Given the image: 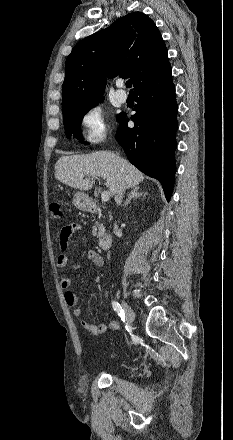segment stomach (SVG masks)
<instances>
[{"mask_svg": "<svg viewBox=\"0 0 233 440\" xmlns=\"http://www.w3.org/2000/svg\"><path fill=\"white\" fill-rule=\"evenodd\" d=\"M73 205L82 211H87L91 208L92 202L88 195L78 192L73 197Z\"/></svg>", "mask_w": 233, "mask_h": 440, "instance_id": "stomach-1", "label": "stomach"}]
</instances>
